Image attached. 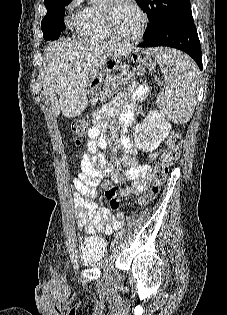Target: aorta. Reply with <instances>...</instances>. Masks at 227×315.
I'll use <instances>...</instances> for the list:
<instances>
[{
	"mask_svg": "<svg viewBox=\"0 0 227 315\" xmlns=\"http://www.w3.org/2000/svg\"><path fill=\"white\" fill-rule=\"evenodd\" d=\"M92 3L100 2L101 0H90Z\"/></svg>",
	"mask_w": 227,
	"mask_h": 315,
	"instance_id": "obj_1",
	"label": "aorta"
}]
</instances>
